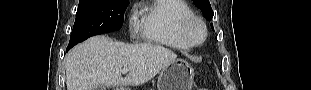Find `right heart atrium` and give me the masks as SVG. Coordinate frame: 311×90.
Listing matches in <instances>:
<instances>
[{
	"label": "right heart atrium",
	"mask_w": 311,
	"mask_h": 90,
	"mask_svg": "<svg viewBox=\"0 0 311 90\" xmlns=\"http://www.w3.org/2000/svg\"><path fill=\"white\" fill-rule=\"evenodd\" d=\"M129 29L131 33H136L139 29V22L136 14L132 10L129 15Z\"/></svg>",
	"instance_id": "right-heart-atrium-1"
}]
</instances>
